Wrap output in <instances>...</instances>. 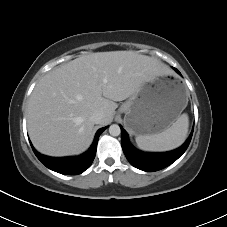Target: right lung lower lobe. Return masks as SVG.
<instances>
[{
  "label": "right lung lower lobe",
  "mask_w": 227,
  "mask_h": 227,
  "mask_svg": "<svg viewBox=\"0 0 227 227\" xmlns=\"http://www.w3.org/2000/svg\"><path fill=\"white\" fill-rule=\"evenodd\" d=\"M106 128L107 127L99 129L95 135L93 144L91 145L89 150L83 153L82 155L76 156V157H62V158L49 157L38 153L33 148V146L32 145L31 146L37 158L47 168L61 174L77 175L87 170L92 164L96 155L98 138Z\"/></svg>",
  "instance_id": "1"
}]
</instances>
